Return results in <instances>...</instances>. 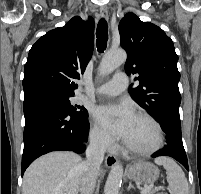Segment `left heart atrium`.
Masks as SVG:
<instances>
[{
  "label": "left heart atrium",
  "mask_w": 201,
  "mask_h": 194,
  "mask_svg": "<svg viewBox=\"0 0 201 194\" xmlns=\"http://www.w3.org/2000/svg\"><path fill=\"white\" fill-rule=\"evenodd\" d=\"M93 114L106 131L124 140L136 117L128 103L101 105L94 109Z\"/></svg>",
  "instance_id": "39dd6f15"
}]
</instances>
